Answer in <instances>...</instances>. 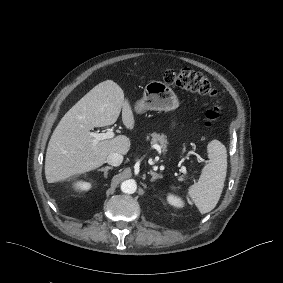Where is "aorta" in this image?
Listing matches in <instances>:
<instances>
[{
	"label": "aorta",
	"mask_w": 283,
	"mask_h": 283,
	"mask_svg": "<svg viewBox=\"0 0 283 283\" xmlns=\"http://www.w3.org/2000/svg\"><path fill=\"white\" fill-rule=\"evenodd\" d=\"M137 190V184L134 180H125L121 184V191L126 194H133Z\"/></svg>",
	"instance_id": "762f6f07"
}]
</instances>
